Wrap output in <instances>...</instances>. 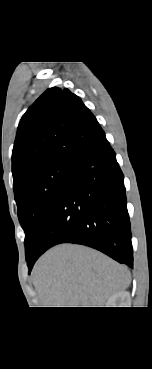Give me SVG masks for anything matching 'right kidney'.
Masks as SVG:
<instances>
[{
  "mask_svg": "<svg viewBox=\"0 0 152 369\" xmlns=\"http://www.w3.org/2000/svg\"><path fill=\"white\" fill-rule=\"evenodd\" d=\"M128 298V293L125 291L118 292L112 295L108 301L106 307H123L125 305V301Z\"/></svg>",
  "mask_w": 152,
  "mask_h": 369,
  "instance_id": "right-kidney-1",
  "label": "right kidney"
}]
</instances>
